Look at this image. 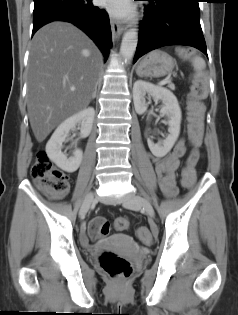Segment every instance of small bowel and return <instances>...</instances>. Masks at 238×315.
I'll use <instances>...</instances> for the list:
<instances>
[{"label":"small bowel","instance_id":"obj_1","mask_svg":"<svg viewBox=\"0 0 238 315\" xmlns=\"http://www.w3.org/2000/svg\"><path fill=\"white\" fill-rule=\"evenodd\" d=\"M185 152V143L183 140H179L173 150L166 156L153 157L160 188L167 197H173L177 193L176 171L180 164V158L185 154ZM198 158V150H193L188 158L187 167L184 169V173L188 175L191 185L195 180L194 166ZM141 240L144 244H148L150 242V238H141Z\"/></svg>","mask_w":238,"mask_h":315}]
</instances>
